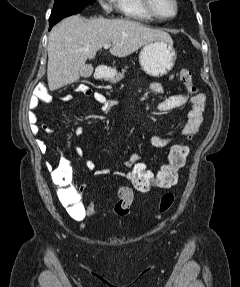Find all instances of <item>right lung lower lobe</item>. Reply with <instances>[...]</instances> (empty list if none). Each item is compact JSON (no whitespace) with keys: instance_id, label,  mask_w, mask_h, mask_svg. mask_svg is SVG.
<instances>
[{"instance_id":"1","label":"right lung lower lobe","mask_w":240,"mask_h":287,"mask_svg":"<svg viewBox=\"0 0 240 287\" xmlns=\"http://www.w3.org/2000/svg\"><path fill=\"white\" fill-rule=\"evenodd\" d=\"M61 19H59V20H56V21H54V22H51L50 23V26H49V30L57 23V22H59Z\"/></svg>"}]
</instances>
